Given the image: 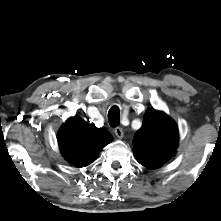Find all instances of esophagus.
Returning a JSON list of instances; mask_svg holds the SVG:
<instances>
[{"label": "esophagus", "instance_id": "1", "mask_svg": "<svg viewBox=\"0 0 221 221\" xmlns=\"http://www.w3.org/2000/svg\"><path fill=\"white\" fill-rule=\"evenodd\" d=\"M114 133L116 134V136H117L118 138H122V137H123V130H122V128H120V127H116V128L114 129Z\"/></svg>", "mask_w": 221, "mask_h": 221}]
</instances>
